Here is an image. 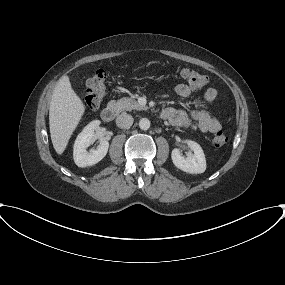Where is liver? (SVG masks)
<instances>
[{"label":"liver","mask_w":285,"mask_h":285,"mask_svg":"<svg viewBox=\"0 0 285 285\" xmlns=\"http://www.w3.org/2000/svg\"><path fill=\"white\" fill-rule=\"evenodd\" d=\"M85 112V106L64 75L54 88L49 108V127L53 147L61 155Z\"/></svg>","instance_id":"liver-1"}]
</instances>
